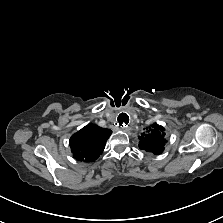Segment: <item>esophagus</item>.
I'll return each instance as SVG.
<instances>
[{
	"mask_svg": "<svg viewBox=\"0 0 223 223\" xmlns=\"http://www.w3.org/2000/svg\"><path fill=\"white\" fill-rule=\"evenodd\" d=\"M116 122L119 126L121 127H127L131 124L132 122V117L129 113L127 112H121L117 115L116 117Z\"/></svg>",
	"mask_w": 223,
	"mask_h": 223,
	"instance_id": "obj_1",
	"label": "esophagus"
}]
</instances>
